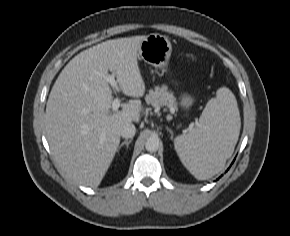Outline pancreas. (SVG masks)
<instances>
[{"mask_svg": "<svg viewBox=\"0 0 290 236\" xmlns=\"http://www.w3.org/2000/svg\"><path fill=\"white\" fill-rule=\"evenodd\" d=\"M145 100L148 105L153 107L166 106L171 112L177 109L176 98L167 90L166 86L155 87V90H150Z\"/></svg>", "mask_w": 290, "mask_h": 236, "instance_id": "1", "label": "pancreas"}]
</instances>
